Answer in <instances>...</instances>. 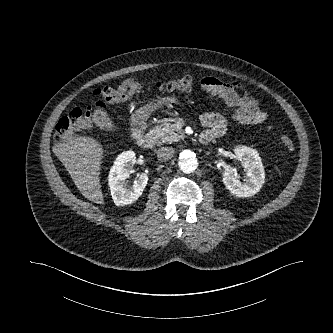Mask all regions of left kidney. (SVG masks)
I'll list each match as a JSON object with an SVG mask.
<instances>
[{
  "instance_id": "1",
  "label": "left kidney",
  "mask_w": 333,
  "mask_h": 333,
  "mask_svg": "<svg viewBox=\"0 0 333 333\" xmlns=\"http://www.w3.org/2000/svg\"><path fill=\"white\" fill-rule=\"evenodd\" d=\"M234 153L242 166L247 168V179L241 182L236 174L227 168L223 174V183L237 197L253 196L264 184L265 173L261 157L255 149L246 146L235 148Z\"/></svg>"
}]
</instances>
